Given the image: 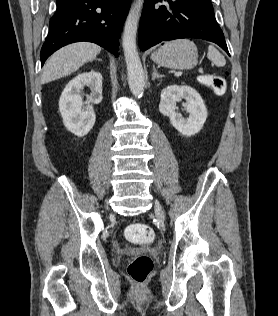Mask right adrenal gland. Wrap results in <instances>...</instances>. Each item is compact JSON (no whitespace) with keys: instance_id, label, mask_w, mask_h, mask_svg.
Segmentation results:
<instances>
[{"instance_id":"2a0ac1e0","label":"right adrenal gland","mask_w":278,"mask_h":316,"mask_svg":"<svg viewBox=\"0 0 278 316\" xmlns=\"http://www.w3.org/2000/svg\"><path fill=\"white\" fill-rule=\"evenodd\" d=\"M98 61H102V59H97Z\"/></svg>"}]
</instances>
